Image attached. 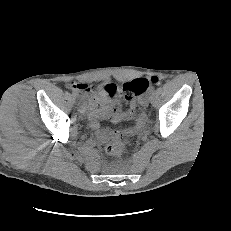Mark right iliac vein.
Instances as JSON below:
<instances>
[{"mask_svg":"<svg viewBox=\"0 0 231 231\" xmlns=\"http://www.w3.org/2000/svg\"><path fill=\"white\" fill-rule=\"evenodd\" d=\"M77 105H78L79 112H81V113L85 112L86 104H85V101L81 97H78Z\"/></svg>","mask_w":231,"mask_h":231,"instance_id":"obj_1","label":"right iliac vein"}]
</instances>
